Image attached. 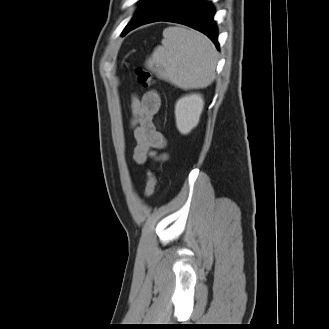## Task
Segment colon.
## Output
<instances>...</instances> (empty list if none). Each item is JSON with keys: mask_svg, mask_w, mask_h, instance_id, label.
I'll use <instances>...</instances> for the list:
<instances>
[{"mask_svg": "<svg viewBox=\"0 0 329 329\" xmlns=\"http://www.w3.org/2000/svg\"><path fill=\"white\" fill-rule=\"evenodd\" d=\"M134 74H135L136 81L142 87L148 88L152 85L153 81H152L151 73L148 70H146L142 67H137V68H135ZM157 182H158V180H157L156 173L152 170H149L147 172V181H146V186H145V189L143 192L144 197L149 198L154 194L156 186H157Z\"/></svg>", "mask_w": 329, "mask_h": 329, "instance_id": "1", "label": "colon"}]
</instances>
